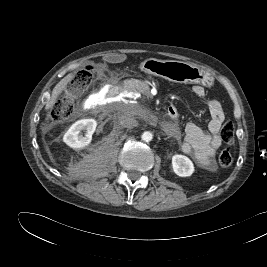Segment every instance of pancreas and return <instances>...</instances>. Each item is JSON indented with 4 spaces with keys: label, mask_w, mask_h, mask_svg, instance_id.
Returning a JSON list of instances; mask_svg holds the SVG:
<instances>
[{
    "label": "pancreas",
    "mask_w": 267,
    "mask_h": 267,
    "mask_svg": "<svg viewBox=\"0 0 267 267\" xmlns=\"http://www.w3.org/2000/svg\"><path fill=\"white\" fill-rule=\"evenodd\" d=\"M129 91L131 92H140L146 95H149V87L142 81H130L128 82Z\"/></svg>",
    "instance_id": "obj_1"
}]
</instances>
